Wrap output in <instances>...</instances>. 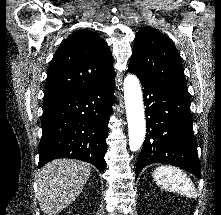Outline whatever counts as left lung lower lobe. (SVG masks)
<instances>
[{"mask_svg": "<svg viewBox=\"0 0 221 215\" xmlns=\"http://www.w3.org/2000/svg\"><path fill=\"white\" fill-rule=\"evenodd\" d=\"M128 71L140 79L146 105L147 134L138 157L136 174L152 163H165L183 168L200 178L189 97Z\"/></svg>", "mask_w": 221, "mask_h": 215, "instance_id": "left-lung-lower-lobe-1", "label": "left lung lower lobe"}]
</instances>
